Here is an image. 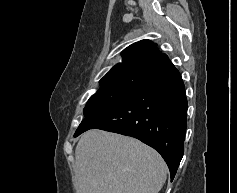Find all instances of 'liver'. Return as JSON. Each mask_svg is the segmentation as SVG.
<instances>
[{
	"label": "liver",
	"mask_w": 237,
	"mask_h": 193,
	"mask_svg": "<svg viewBox=\"0 0 237 193\" xmlns=\"http://www.w3.org/2000/svg\"><path fill=\"white\" fill-rule=\"evenodd\" d=\"M76 193H158L167 166L153 148L116 133L89 130L75 149Z\"/></svg>",
	"instance_id": "liver-1"
}]
</instances>
